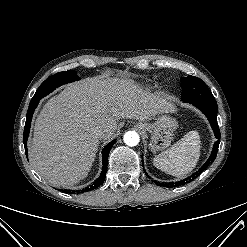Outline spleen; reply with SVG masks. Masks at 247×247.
I'll return each instance as SVG.
<instances>
[{"instance_id":"spleen-1","label":"spleen","mask_w":247,"mask_h":247,"mask_svg":"<svg viewBox=\"0 0 247 247\" xmlns=\"http://www.w3.org/2000/svg\"><path fill=\"white\" fill-rule=\"evenodd\" d=\"M200 149L199 133L190 131L171 148L157 155L153 164L170 175L183 177L197 165Z\"/></svg>"}]
</instances>
